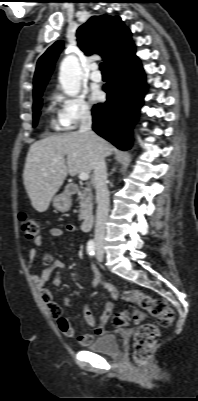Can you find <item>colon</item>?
Here are the masks:
<instances>
[{
    "instance_id": "obj_1",
    "label": "colon",
    "mask_w": 198,
    "mask_h": 401,
    "mask_svg": "<svg viewBox=\"0 0 198 401\" xmlns=\"http://www.w3.org/2000/svg\"><path fill=\"white\" fill-rule=\"evenodd\" d=\"M18 221L23 234L28 239L36 238L39 235V226L35 219L25 213H21ZM123 298L127 302L136 303L140 310L134 311L131 314L129 312L115 314L113 324L117 328L124 327L130 315L136 322H140L148 313L155 317L161 326H169L174 321L173 310L161 299L153 298L137 290H126L123 293ZM55 311L57 315L61 314L59 306L56 307ZM158 339L159 329L157 326L146 323L137 327L132 345V358L135 364L143 365L146 363Z\"/></svg>"
}]
</instances>
